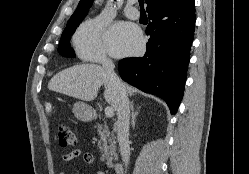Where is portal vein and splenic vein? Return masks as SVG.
<instances>
[{"mask_svg":"<svg viewBox=\"0 0 249 174\" xmlns=\"http://www.w3.org/2000/svg\"><path fill=\"white\" fill-rule=\"evenodd\" d=\"M105 115L106 117L110 118L114 116V109L112 107L105 108Z\"/></svg>","mask_w":249,"mask_h":174,"instance_id":"1","label":"portal vein and splenic vein"}]
</instances>
